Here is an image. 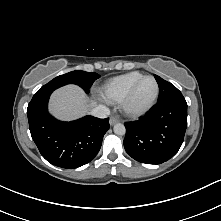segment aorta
Wrapping results in <instances>:
<instances>
[{
  "label": "aorta",
  "mask_w": 221,
  "mask_h": 221,
  "mask_svg": "<svg viewBox=\"0 0 221 221\" xmlns=\"http://www.w3.org/2000/svg\"><path fill=\"white\" fill-rule=\"evenodd\" d=\"M113 130L116 135H124L126 133V128L122 123L115 124Z\"/></svg>",
  "instance_id": "aorta-1"
}]
</instances>
